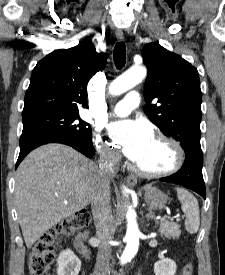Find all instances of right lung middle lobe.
I'll return each mask as SVG.
<instances>
[{
  "label": "right lung middle lobe",
  "mask_w": 225,
  "mask_h": 275,
  "mask_svg": "<svg viewBox=\"0 0 225 275\" xmlns=\"http://www.w3.org/2000/svg\"><path fill=\"white\" fill-rule=\"evenodd\" d=\"M23 131L43 130L91 141V126L79 116V111H49L22 116Z\"/></svg>",
  "instance_id": "obj_1"
}]
</instances>
